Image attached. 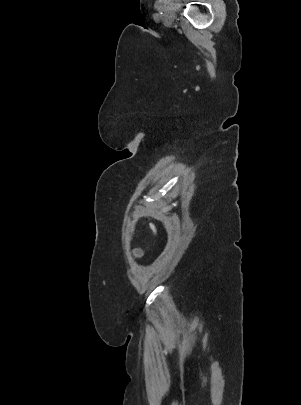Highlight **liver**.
Wrapping results in <instances>:
<instances>
[{
    "instance_id": "6515ba94",
    "label": "liver",
    "mask_w": 301,
    "mask_h": 405,
    "mask_svg": "<svg viewBox=\"0 0 301 405\" xmlns=\"http://www.w3.org/2000/svg\"><path fill=\"white\" fill-rule=\"evenodd\" d=\"M150 226H151L152 230H153L154 232H156V228H155V226H154L152 223L150 224Z\"/></svg>"
}]
</instances>
